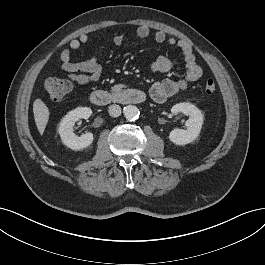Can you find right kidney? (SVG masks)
I'll list each match as a JSON object with an SVG mask.
<instances>
[{
	"instance_id": "obj_1",
	"label": "right kidney",
	"mask_w": 265,
	"mask_h": 265,
	"mask_svg": "<svg viewBox=\"0 0 265 265\" xmlns=\"http://www.w3.org/2000/svg\"><path fill=\"white\" fill-rule=\"evenodd\" d=\"M92 114V110L88 107H77L68 112L59 124V134L65 146L73 150H81L90 146L93 142V134L86 133L77 136L73 132L75 122L79 119H88Z\"/></svg>"
}]
</instances>
